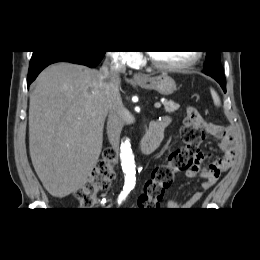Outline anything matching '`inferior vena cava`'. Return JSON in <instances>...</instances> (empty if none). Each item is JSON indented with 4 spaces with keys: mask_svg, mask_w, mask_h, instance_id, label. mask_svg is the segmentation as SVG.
I'll use <instances>...</instances> for the list:
<instances>
[{
    "mask_svg": "<svg viewBox=\"0 0 260 260\" xmlns=\"http://www.w3.org/2000/svg\"><path fill=\"white\" fill-rule=\"evenodd\" d=\"M125 60L117 52H108L100 68V89L108 107L107 134L109 141L115 145L123 127L122 99L119 92L120 73L125 72Z\"/></svg>",
    "mask_w": 260,
    "mask_h": 260,
    "instance_id": "1",
    "label": "inferior vena cava"
}]
</instances>
